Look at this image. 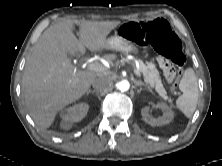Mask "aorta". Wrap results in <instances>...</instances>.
<instances>
[{"label":"aorta","mask_w":222,"mask_h":166,"mask_svg":"<svg viewBox=\"0 0 222 166\" xmlns=\"http://www.w3.org/2000/svg\"><path fill=\"white\" fill-rule=\"evenodd\" d=\"M129 87L130 83L127 80H121L117 83V88L122 92L127 91Z\"/></svg>","instance_id":"obj_1"}]
</instances>
